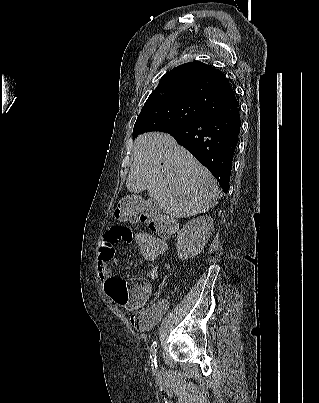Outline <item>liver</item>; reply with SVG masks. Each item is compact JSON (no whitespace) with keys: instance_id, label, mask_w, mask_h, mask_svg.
I'll return each mask as SVG.
<instances>
[{"instance_id":"6515ba94","label":"liver","mask_w":319,"mask_h":403,"mask_svg":"<svg viewBox=\"0 0 319 403\" xmlns=\"http://www.w3.org/2000/svg\"><path fill=\"white\" fill-rule=\"evenodd\" d=\"M133 154L126 180L128 190H147L165 214L191 217L209 211L218 198L219 187L209 170L169 134L140 135Z\"/></svg>"}]
</instances>
